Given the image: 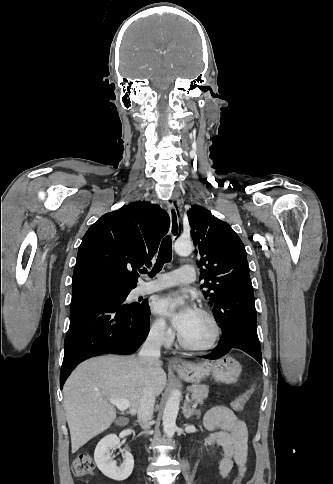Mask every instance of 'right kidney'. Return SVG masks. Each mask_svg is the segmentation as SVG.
Listing matches in <instances>:
<instances>
[{
	"label": "right kidney",
	"mask_w": 333,
	"mask_h": 484,
	"mask_svg": "<svg viewBox=\"0 0 333 484\" xmlns=\"http://www.w3.org/2000/svg\"><path fill=\"white\" fill-rule=\"evenodd\" d=\"M120 447V440L115 434H110L99 441L94 452V460L99 470L108 478L123 481L127 479L134 468V459L128 451L124 454V461L120 466L111 456V450Z\"/></svg>",
	"instance_id": "obj_1"
}]
</instances>
